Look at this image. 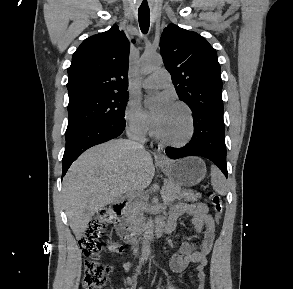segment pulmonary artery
Segmentation results:
<instances>
[{"instance_id": "1", "label": "pulmonary artery", "mask_w": 293, "mask_h": 289, "mask_svg": "<svg viewBox=\"0 0 293 289\" xmlns=\"http://www.w3.org/2000/svg\"><path fill=\"white\" fill-rule=\"evenodd\" d=\"M171 82L170 75L167 70L159 69L142 81L145 88H160L169 85Z\"/></svg>"}]
</instances>
